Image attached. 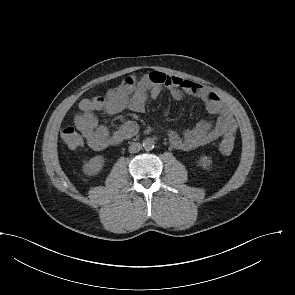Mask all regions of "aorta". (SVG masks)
<instances>
[{
	"instance_id": "aorta-1",
	"label": "aorta",
	"mask_w": 295,
	"mask_h": 295,
	"mask_svg": "<svg viewBox=\"0 0 295 295\" xmlns=\"http://www.w3.org/2000/svg\"><path fill=\"white\" fill-rule=\"evenodd\" d=\"M154 144H155V142L151 138H146L143 141V147L145 150H152L154 148Z\"/></svg>"
}]
</instances>
